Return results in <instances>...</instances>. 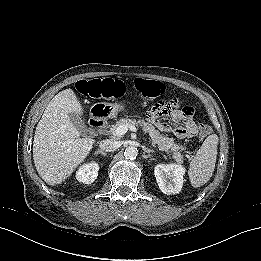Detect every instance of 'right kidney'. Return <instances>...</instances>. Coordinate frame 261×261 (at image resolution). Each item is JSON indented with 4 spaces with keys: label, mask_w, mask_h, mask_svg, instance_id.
Segmentation results:
<instances>
[{
    "label": "right kidney",
    "mask_w": 261,
    "mask_h": 261,
    "mask_svg": "<svg viewBox=\"0 0 261 261\" xmlns=\"http://www.w3.org/2000/svg\"><path fill=\"white\" fill-rule=\"evenodd\" d=\"M91 169L92 171H90ZM97 170V164H90L86 168H80L77 172V177L81 182L91 183L97 177Z\"/></svg>",
    "instance_id": "ca27d5eb"
}]
</instances>
